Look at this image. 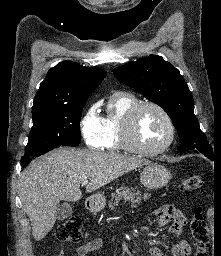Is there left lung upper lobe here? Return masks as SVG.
<instances>
[{"label": "left lung upper lobe", "mask_w": 221, "mask_h": 256, "mask_svg": "<svg viewBox=\"0 0 221 256\" xmlns=\"http://www.w3.org/2000/svg\"><path fill=\"white\" fill-rule=\"evenodd\" d=\"M122 83L134 87L150 101L161 106L178 130L180 151L187 149L214 155L194 115L193 99L178 69L161 56L150 55L113 71Z\"/></svg>", "instance_id": "1"}]
</instances>
